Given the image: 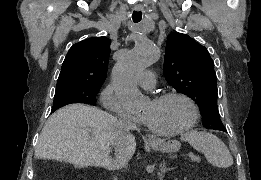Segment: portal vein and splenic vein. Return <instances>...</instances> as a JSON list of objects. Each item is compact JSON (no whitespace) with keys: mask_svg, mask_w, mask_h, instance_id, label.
<instances>
[{"mask_svg":"<svg viewBox=\"0 0 261 180\" xmlns=\"http://www.w3.org/2000/svg\"><path fill=\"white\" fill-rule=\"evenodd\" d=\"M189 161H198L201 160V155H197L196 153H188Z\"/></svg>","mask_w":261,"mask_h":180,"instance_id":"1","label":"portal vein and splenic vein"}]
</instances>
